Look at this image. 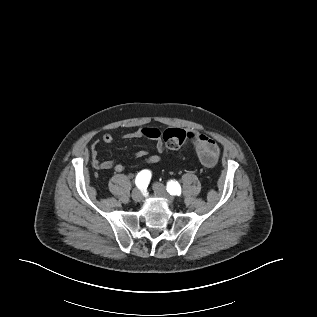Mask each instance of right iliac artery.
Instances as JSON below:
<instances>
[{"label": "right iliac artery", "mask_w": 317, "mask_h": 317, "mask_svg": "<svg viewBox=\"0 0 317 317\" xmlns=\"http://www.w3.org/2000/svg\"><path fill=\"white\" fill-rule=\"evenodd\" d=\"M151 179V172L149 170H142L138 173L135 179V184L139 189L147 187Z\"/></svg>", "instance_id": "right-iliac-artery-1"}]
</instances>
